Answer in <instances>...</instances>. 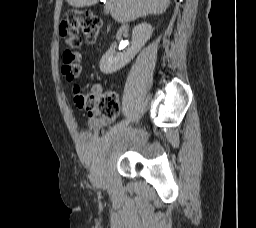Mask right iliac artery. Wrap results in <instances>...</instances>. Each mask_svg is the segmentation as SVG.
<instances>
[{
  "label": "right iliac artery",
  "mask_w": 256,
  "mask_h": 228,
  "mask_svg": "<svg viewBox=\"0 0 256 228\" xmlns=\"http://www.w3.org/2000/svg\"><path fill=\"white\" fill-rule=\"evenodd\" d=\"M130 119H125L119 122L117 125H115L114 129L118 130L120 128H124L129 123Z\"/></svg>",
  "instance_id": "right-iliac-artery-1"
}]
</instances>
